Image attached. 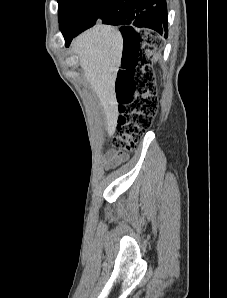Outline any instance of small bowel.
<instances>
[{"label": "small bowel", "instance_id": "c3829d8e", "mask_svg": "<svg viewBox=\"0 0 227 298\" xmlns=\"http://www.w3.org/2000/svg\"><path fill=\"white\" fill-rule=\"evenodd\" d=\"M127 159L128 154L125 151L119 149H110L103 157L104 165L108 169L117 167Z\"/></svg>", "mask_w": 227, "mask_h": 298}]
</instances>
